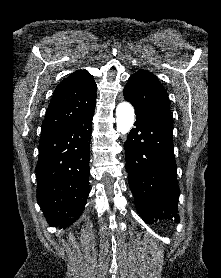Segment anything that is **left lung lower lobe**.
<instances>
[{
    "instance_id": "obj_1",
    "label": "left lung lower lobe",
    "mask_w": 221,
    "mask_h": 278,
    "mask_svg": "<svg viewBox=\"0 0 221 278\" xmlns=\"http://www.w3.org/2000/svg\"><path fill=\"white\" fill-rule=\"evenodd\" d=\"M125 142L126 170L135 206L145 221L180 222L172 117L136 116Z\"/></svg>"
}]
</instances>
